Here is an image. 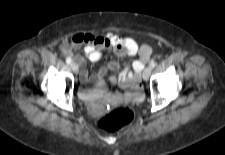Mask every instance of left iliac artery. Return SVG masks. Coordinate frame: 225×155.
Masks as SVG:
<instances>
[{
    "instance_id": "1",
    "label": "left iliac artery",
    "mask_w": 225,
    "mask_h": 155,
    "mask_svg": "<svg viewBox=\"0 0 225 155\" xmlns=\"http://www.w3.org/2000/svg\"><path fill=\"white\" fill-rule=\"evenodd\" d=\"M155 66H156V62L151 61L150 64H149V67L153 69Z\"/></svg>"
}]
</instances>
